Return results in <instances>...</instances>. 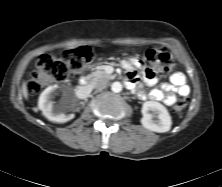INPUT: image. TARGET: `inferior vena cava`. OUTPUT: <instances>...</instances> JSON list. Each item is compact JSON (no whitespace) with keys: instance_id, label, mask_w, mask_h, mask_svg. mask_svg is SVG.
I'll list each match as a JSON object with an SVG mask.
<instances>
[{"instance_id":"inferior-vena-cava-1","label":"inferior vena cava","mask_w":222,"mask_h":187,"mask_svg":"<svg viewBox=\"0 0 222 187\" xmlns=\"http://www.w3.org/2000/svg\"><path fill=\"white\" fill-rule=\"evenodd\" d=\"M108 84V81L104 78H95L91 82V86L95 89L104 88Z\"/></svg>"}]
</instances>
